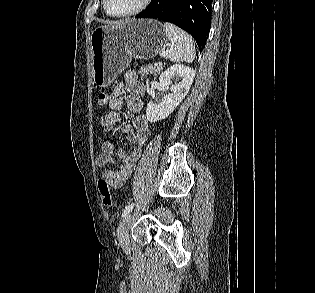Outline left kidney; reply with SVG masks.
<instances>
[{"mask_svg":"<svg viewBox=\"0 0 315 293\" xmlns=\"http://www.w3.org/2000/svg\"><path fill=\"white\" fill-rule=\"evenodd\" d=\"M194 77L195 70L181 64H175L164 71L159 81L165 89H170L171 93L164 96L158 104L153 101L148 103L146 109L148 121L152 123L167 118L187 95ZM173 78L178 82L172 85Z\"/></svg>","mask_w":315,"mask_h":293,"instance_id":"left-kidney-1","label":"left kidney"}]
</instances>
